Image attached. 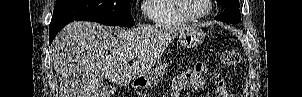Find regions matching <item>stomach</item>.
Wrapping results in <instances>:
<instances>
[{
    "instance_id": "stomach-1",
    "label": "stomach",
    "mask_w": 302,
    "mask_h": 97,
    "mask_svg": "<svg viewBox=\"0 0 302 97\" xmlns=\"http://www.w3.org/2000/svg\"><path fill=\"white\" fill-rule=\"evenodd\" d=\"M204 32L199 27H187L179 33V43L184 48L196 47L201 44L204 39ZM167 63L151 69L145 75L138 77L136 83L139 87L152 88L159 83L163 77Z\"/></svg>"
}]
</instances>
